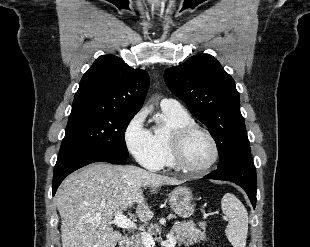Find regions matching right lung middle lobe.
I'll use <instances>...</instances> for the list:
<instances>
[{
	"instance_id": "1",
	"label": "right lung middle lobe",
	"mask_w": 310,
	"mask_h": 247,
	"mask_svg": "<svg viewBox=\"0 0 310 247\" xmlns=\"http://www.w3.org/2000/svg\"><path fill=\"white\" fill-rule=\"evenodd\" d=\"M133 117L109 110H72L59 154L86 150L128 158L124 136Z\"/></svg>"
}]
</instances>
